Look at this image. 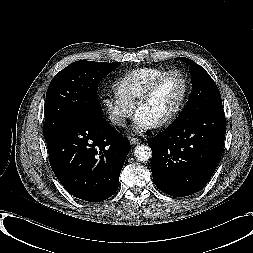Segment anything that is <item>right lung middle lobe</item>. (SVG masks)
<instances>
[{
	"instance_id": "dd1d6c3e",
	"label": "right lung middle lobe",
	"mask_w": 253,
	"mask_h": 253,
	"mask_svg": "<svg viewBox=\"0 0 253 253\" xmlns=\"http://www.w3.org/2000/svg\"><path fill=\"white\" fill-rule=\"evenodd\" d=\"M120 63L76 61L57 73L46 94L44 138L70 120L84 115L103 117L97 97L100 80Z\"/></svg>"
}]
</instances>
